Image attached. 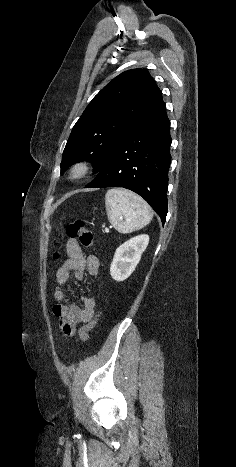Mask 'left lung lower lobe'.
Wrapping results in <instances>:
<instances>
[{"mask_svg": "<svg viewBox=\"0 0 236 467\" xmlns=\"http://www.w3.org/2000/svg\"><path fill=\"white\" fill-rule=\"evenodd\" d=\"M170 121L161 101L118 141L97 177L85 188L123 187L143 197L165 223Z\"/></svg>", "mask_w": 236, "mask_h": 467, "instance_id": "obj_1", "label": "left lung lower lobe"}]
</instances>
